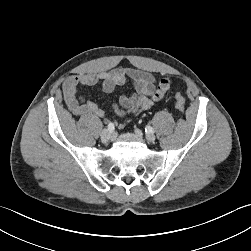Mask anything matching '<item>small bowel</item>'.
Segmentation results:
<instances>
[{
  "label": "small bowel",
  "instance_id": "c3829d8e",
  "mask_svg": "<svg viewBox=\"0 0 251 251\" xmlns=\"http://www.w3.org/2000/svg\"><path fill=\"white\" fill-rule=\"evenodd\" d=\"M127 81L133 84L134 92L130 95L120 96L113 105L115 114L121 118L149 110L162 99L171 85L169 78L157 81L150 72L129 67H116L109 71L95 73H80L68 77L63 83L66 105L77 116L91 115L102 118L105 116L104 110L95 102L81 96L79 87H99L107 94H114L116 89ZM119 126L122 127L123 124H119Z\"/></svg>",
  "mask_w": 251,
  "mask_h": 251
}]
</instances>
